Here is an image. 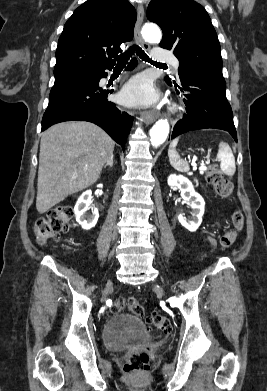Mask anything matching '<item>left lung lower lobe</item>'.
<instances>
[{
    "mask_svg": "<svg viewBox=\"0 0 267 391\" xmlns=\"http://www.w3.org/2000/svg\"><path fill=\"white\" fill-rule=\"evenodd\" d=\"M169 85L171 81L166 80ZM181 92L187 114L177 122L171 138L196 129L216 128L228 131L237 142L233 113L225 95L226 83L222 75L208 71H188L179 75Z\"/></svg>",
    "mask_w": 267,
    "mask_h": 391,
    "instance_id": "0a47b994",
    "label": "left lung lower lobe"
}]
</instances>
